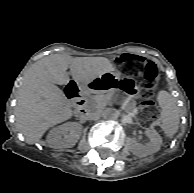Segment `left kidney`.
I'll list each match as a JSON object with an SVG mask.
<instances>
[{
  "label": "left kidney",
  "mask_w": 194,
  "mask_h": 193,
  "mask_svg": "<svg viewBox=\"0 0 194 193\" xmlns=\"http://www.w3.org/2000/svg\"><path fill=\"white\" fill-rule=\"evenodd\" d=\"M146 135L150 139V142L146 145H140L135 140L131 139L129 141V147L131 152L139 157H145L150 154L156 153L160 150L162 144L161 136L154 129H147L145 131Z\"/></svg>",
  "instance_id": "1"
}]
</instances>
